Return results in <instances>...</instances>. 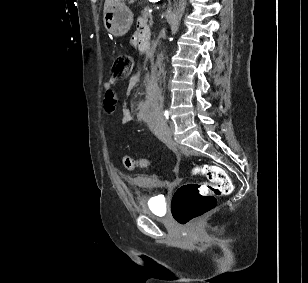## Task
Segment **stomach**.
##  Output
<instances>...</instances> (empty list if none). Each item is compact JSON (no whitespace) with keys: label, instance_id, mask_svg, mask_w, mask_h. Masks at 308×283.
Segmentation results:
<instances>
[{"label":"stomach","instance_id":"obj_1","mask_svg":"<svg viewBox=\"0 0 308 283\" xmlns=\"http://www.w3.org/2000/svg\"><path fill=\"white\" fill-rule=\"evenodd\" d=\"M104 27L115 37L125 35L133 22V14L129 7L120 2L114 4L104 12Z\"/></svg>","mask_w":308,"mask_h":283}]
</instances>
